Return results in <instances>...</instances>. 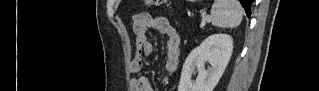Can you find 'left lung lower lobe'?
<instances>
[{"label":"left lung lower lobe","mask_w":319,"mask_h":91,"mask_svg":"<svg viewBox=\"0 0 319 91\" xmlns=\"http://www.w3.org/2000/svg\"><path fill=\"white\" fill-rule=\"evenodd\" d=\"M242 6L245 9L246 15L250 17L251 15V4L253 3V0H239Z\"/></svg>","instance_id":"obj_1"}]
</instances>
